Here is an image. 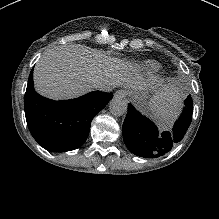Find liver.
Wrapping results in <instances>:
<instances>
[{
	"instance_id": "1",
	"label": "liver",
	"mask_w": 219,
	"mask_h": 219,
	"mask_svg": "<svg viewBox=\"0 0 219 219\" xmlns=\"http://www.w3.org/2000/svg\"><path fill=\"white\" fill-rule=\"evenodd\" d=\"M101 63L96 53L87 47L56 50L38 62L34 73L36 88L53 98L83 95L94 89L95 78L104 77Z\"/></svg>"
}]
</instances>
